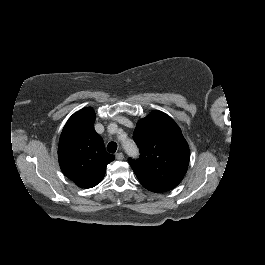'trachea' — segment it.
Segmentation results:
<instances>
[{
  "mask_svg": "<svg viewBox=\"0 0 265 265\" xmlns=\"http://www.w3.org/2000/svg\"><path fill=\"white\" fill-rule=\"evenodd\" d=\"M107 150H108V152H110V153H115L116 150H117V143H115V142H110V143L107 145Z\"/></svg>",
  "mask_w": 265,
  "mask_h": 265,
  "instance_id": "trachea-1",
  "label": "trachea"
}]
</instances>
